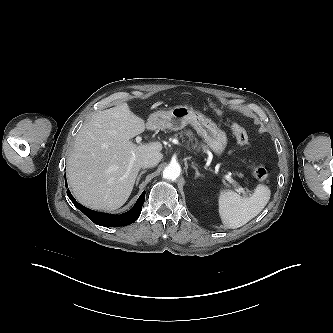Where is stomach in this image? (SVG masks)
<instances>
[{"label": "stomach", "instance_id": "obj_1", "mask_svg": "<svg viewBox=\"0 0 333 333\" xmlns=\"http://www.w3.org/2000/svg\"><path fill=\"white\" fill-rule=\"evenodd\" d=\"M148 122L154 129L181 130L190 124L208 147L221 155L227 146L226 133L202 112L189 106H176L168 111H157L150 115Z\"/></svg>", "mask_w": 333, "mask_h": 333}]
</instances>
